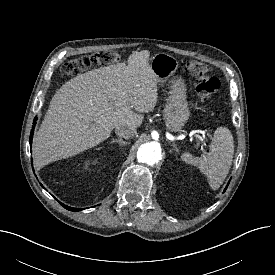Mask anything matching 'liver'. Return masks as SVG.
<instances>
[{
    "instance_id": "6515ba94",
    "label": "liver",
    "mask_w": 275,
    "mask_h": 275,
    "mask_svg": "<svg viewBox=\"0 0 275 275\" xmlns=\"http://www.w3.org/2000/svg\"><path fill=\"white\" fill-rule=\"evenodd\" d=\"M150 52L132 53L128 64L117 63L78 75L53 96L33 150L37 167L97 146L114 128L139 127L158 100L157 77ZM138 113H135L132 109Z\"/></svg>"
}]
</instances>
